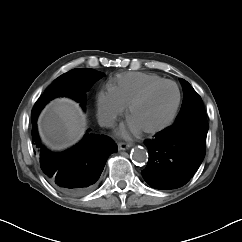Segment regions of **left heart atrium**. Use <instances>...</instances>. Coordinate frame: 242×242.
I'll use <instances>...</instances> for the list:
<instances>
[{
  "label": "left heart atrium",
  "mask_w": 242,
  "mask_h": 242,
  "mask_svg": "<svg viewBox=\"0 0 242 242\" xmlns=\"http://www.w3.org/2000/svg\"><path fill=\"white\" fill-rule=\"evenodd\" d=\"M140 129L132 122L130 121L127 126H123L120 129V134L123 136H128L131 133H137Z\"/></svg>",
  "instance_id": "39dd6f15"
}]
</instances>
